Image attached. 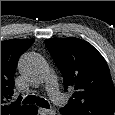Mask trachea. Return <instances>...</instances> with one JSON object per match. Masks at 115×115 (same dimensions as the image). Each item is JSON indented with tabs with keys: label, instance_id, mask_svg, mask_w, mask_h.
Listing matches in <instances>:
<instances>
[{
	"label": "trachea",
	"instance_id": "3493384b",
	"mask_svg": "<svg viewBox=\"0 0 115 115\" xmlns=\"http://www.w3.org/2000/svg\"><path fill=\"white\" fill-rule=\"evenodd\" d=\"M23 104H37L38 106L43 107V108H48V109L50 108L48 101H46L43 98L36 97L35 95L27 96L23 100Z\"/></svg>",
	"mask_w": 115,
	"mask_h": 115
}]
</instances>
